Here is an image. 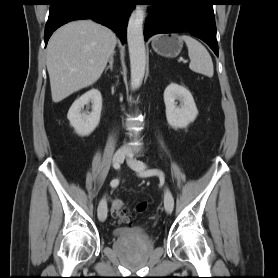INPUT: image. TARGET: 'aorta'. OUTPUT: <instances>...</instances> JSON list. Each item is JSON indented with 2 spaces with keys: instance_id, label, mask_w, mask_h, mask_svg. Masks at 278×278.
<instances>
[{
  "instance_id": "obj_1",
  "label": "aorta",
  "mask_w": 278,
  "mask_h": 278,
  "mask_svg": "<svg viewBox=\"0 0 278 278\" xmlns=\"http://www.w3.org/2000/svg\"><path fill=\"white\" fill-rule=\"evenodd\" d=\"M145 8L137 6L131 13L127 26V41L130 56L131 88L140 87L146 67V50L143 36Z\"/></svg>"
}]
</instances>
